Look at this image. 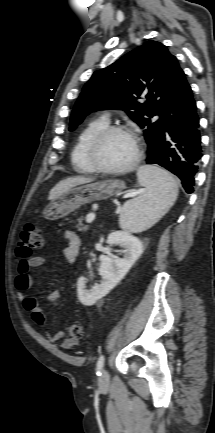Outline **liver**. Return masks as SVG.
Here are the masks:
<instances>
[{
    "label": "liver",
    "instance_id": "liver-1",
    "mask_svg": "<svg viewBox=\"0 0 215 433\" xmlns=\"http://www.w3.org/2000/svg\"><path fill=\"white\" fill-rule=\"evenodd\" d=\"M94 180H95L94 178L82 177V176L70 177L65 180H62L51 189L49 194V199L54 200L60 197L63 193L70 190L71 188L77 185H82V184L92 182Z\"/></svg>",
    "mask_w": 215,
    "mask_h": 433
}]
</instances>
